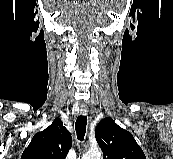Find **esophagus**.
I'll return each instance as SVG.
<instances>
[{
    "label": "esophagus",
    "mask_w": 173,
    "mask_h": 159,
    "mask_svg": "<svg viewBox=\"0 0 173 159\" xmlns=\"http://www.w3.org/2000/svg\"><path fill=\"white\" fill-rule=\"evenodd\" d=\"M80 112H81V114H87V112H88V108L87 107H81L80 108Z\"/></svg>",
    "instance_id": "obj_1"
}]
</instances>
